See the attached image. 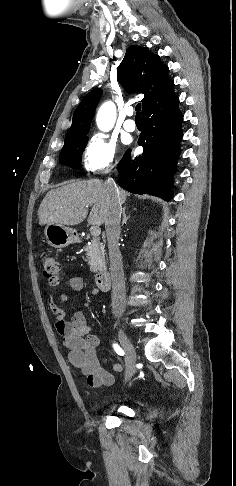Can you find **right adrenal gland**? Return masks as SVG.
Returning a JSON list of instances; mask_svg holds the SVG:
<instances>
[{"instance_id": "right-adrenal-gland-1", "label": "right adrenal gland", "mask_w": 236, "mask_h": 486, "mask_svg": "<svg viewBox=\"0 0 236 486\" xmlns=\"http://www.w3.org/2000/svg\"><path fill=\"white\" fill-rule=\"evenodd\" d=\"M122 215H123V220H122V226H123L124 224H126L129 218V216L126 215V207L123 208Z\"/></svg>"}]
</instances>
